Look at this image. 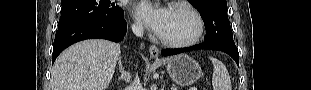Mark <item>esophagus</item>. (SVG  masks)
<instances>
[{
	"label": "esophagus",
	"instance_id": "1",
	"mask_svg": "<svg viewBox=\"0 0 311 90\" xmlns=\"http://www.w3.org/2000/svg\"><path fill=\"white\" fill-rule=\"evenodd\" d=\"M149 54L152 58L158 59L159 57V49L155 45H151L149 47Z\"/></svg>",
	"mask_w": 311,
	"mask_h": 90
}]
</instances>
